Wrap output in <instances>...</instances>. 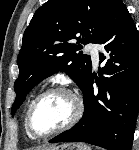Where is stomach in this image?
Returning a JSON list of instances; mask_svg holds the SVG:
<instances>
[{
  "mask_svg": "<svg viewBox=\"0 0 139 150\" xmlns=\"http://www.w3.org/2000/svg\"><path fill=\"white\" fill-rule=\"evenodd\" d=\"M41 150V149H39ZM42 150H91L88 146L76 143H67L58 147H51Z\"/></svg>",
  "mask_w": 139,
  "mask_h": 150,
  "instance_id": "stomach-1",
  "label": "stomach"
}]
</instances>
